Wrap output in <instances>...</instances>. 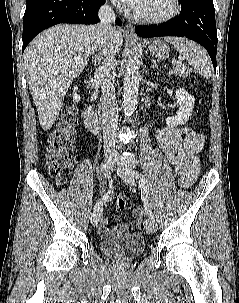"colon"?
Listing matches in <instances>:
<instances>
[{"instance_id":"obj_1","label":"colon","mask_w":239,"mask_h":303,"mask_svg":"<svg viewBox=\"0 0 239 303\" xmlns=\"http://www.w3.org/2000/svg\"><path fill=\"white\" fill-rule=\"evenodd\" d=\"M77 119L75 109H70L62 114L55 127L49 134L45 154V164L49 174L58 184L65 181L66 170L71 163V151L73 149V137ZM127 201L119 196L116 200L118 210H124ZM135 227L140 226V220H135Z\"/></svg>"}]
</instances>
